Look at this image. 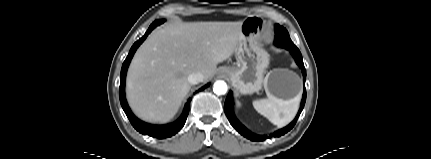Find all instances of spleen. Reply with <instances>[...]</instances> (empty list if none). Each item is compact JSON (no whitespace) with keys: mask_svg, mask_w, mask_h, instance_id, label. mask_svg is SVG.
<instances>
[{"mask_svg":"<svg viewBox=\"0 0 431 159\" xmlns=\"http://www.w3.org/2000/svg\"><path fill=\"white\" fill-rule=\"evenodd\" d=\"M267 93V92H266ZM301 94L290 100H283L267 93V98L253 101L255 110L278 127L290 123L299 108Z\"/></svg>","mask_w":431,"mask_h":159,"instance_id":"3e777b00","label":"spleen"}]
</instances>
